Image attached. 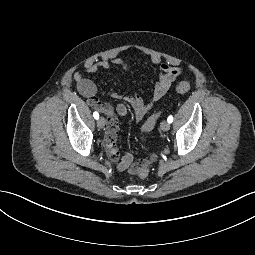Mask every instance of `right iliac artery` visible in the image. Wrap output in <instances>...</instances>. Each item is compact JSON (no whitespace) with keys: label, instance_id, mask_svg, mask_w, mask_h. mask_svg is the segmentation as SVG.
<instances>
[{"label":"right iliac artery","instance_id":"1","mask_svg":"<svg viewBox=\"0 0 255 255\" xmlns=\"http://www.w3.org/2000/svg\"><path fill=\"white\" fill-rule=\"evenodd\" d=\"M93 116H94L95 119H98V118H99L98 112L95 111V112L93 113Z\"/></svg>","mask_w":255,"mask_h":255}]
</instances>
